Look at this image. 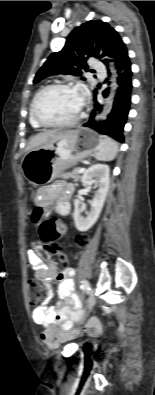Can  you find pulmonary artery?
I'll list each match as a JSON object with an SVG mask.
<instances>
[{
	"label": "pulmonary artery",
	"instance_id": "pulmonary-artery-1",
	"mask_svg": "<svg viewBox=\"0 0 155 395\" xmlns=\"http://www.w3.org/2000/svg\"><path fill=\"white\" fill-rule=\"evenodd\" d=\"M93 68L96 69L100 75L104 76L105 71H104V67L102 66L101 63L97 62V61H93L92 64Z\"/></svg>",
	"mask_w": 155,
	"mask_h": 395
}]
</instances>
